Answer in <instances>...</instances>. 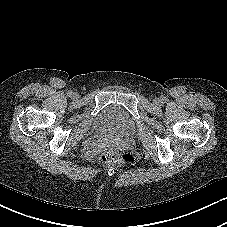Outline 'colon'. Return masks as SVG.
Masks as SVG:
<instances>
[{
	"label": "colon",
	"instance_id": "obj_1",
	"mask_svg": "<svg viewBox=\"0 0 227 227\" xmlns=\"http://www.w3.org/2000/svg\"><path fill=\"white\" fill-rule=\"evenodd\" d=\"M101 160L106 164H127L133 161V156L127 152L110 150L101 156Z\"/></svg>",
	"mask_w": 227,
	"mask_h": 227
}]
</instances>
